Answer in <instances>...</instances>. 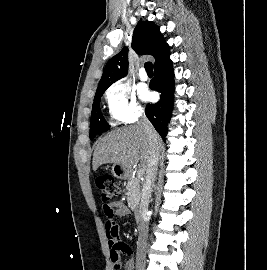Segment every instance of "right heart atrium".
I'll return each mask as SVG.
<instances>
[{
  "label": "right heart atrium",
  "mask_w": 267,
  "mask_h": 270,
  "mask_svg": "<svg viewBox=\"0 0 267 270\" xmlns=\"http://www.w3.org/2000/svg\"><path fill=\"white\" fill-rule=\"evenodd\" d=\"M105 100L111 118L117 123H132L142 114L132 87L125 81H116L105 92Z\"/></svg>",
  "instance_id": "d8ad5b80"
}]
</instances>
